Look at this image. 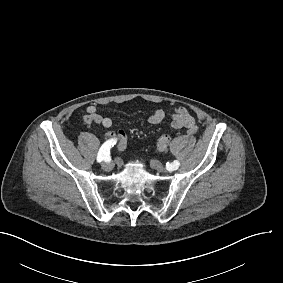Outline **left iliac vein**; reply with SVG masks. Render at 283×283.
<instances>
[{"mask_svg": "<svg viewBox=\"0 0 283 283\" xmlns=\"http://www.w3.org/2000/svg\"><path fill=\"white\" fill-rule=\"evenodd\" d=\"M151 162H152V164H153V166H154V168H155L156 170L162 171L163 166L160 164L159 161H157V160H152ZM173 169H174V168H170L169 170L171 171V170H173Z\"/></svg>", "mask_w": 283, "mask_h": 283, "instance_id": "obj_1", "label": "left iliac vein"}]
</instances>
